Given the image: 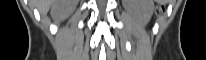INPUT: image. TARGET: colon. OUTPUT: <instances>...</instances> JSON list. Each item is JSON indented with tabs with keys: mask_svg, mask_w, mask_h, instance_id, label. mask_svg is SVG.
<instances>
[{
	"mask_svg": "<svg viewBox=\"0 0 206 60\" xmlns=\"http://www.w3.org/2000/svg\"><path fill=\"white\" fill-rule=\"evenodd\" d=\"M161 11H162V7H159V8H158V12H161Z\"/></svg>",
	"mask_w": 206,
	"mask_h": 60,
	"instance_id": "5ec220e1",
	"label": "colon"
}]
</instances>
